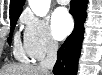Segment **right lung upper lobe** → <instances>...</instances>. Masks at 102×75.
<instances>
[{"instance_id":"cb5924a9","label":"right lung upper lobe","mask_w":102,"mask_h":75,"mask_svg":"<svg viewBox=\"0 0 102 75\" xmlns=\"http://www.w3.org/2000/svg\"><path fill=\"white\" fill-rule=\"evenodd\" d=\"M25 0H10V17L20 15Z\"/></svg>"}]
</instances>
